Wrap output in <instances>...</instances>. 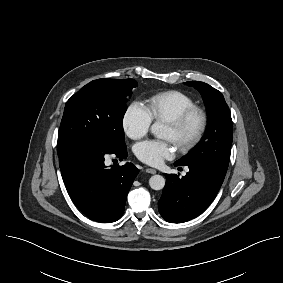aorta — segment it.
Masks as SVG:
<instances>
[{
  "instance_id": "762f6f07",
  "label": "aorta",
  "mask_w": 283,
  "mask_h": 283,
  "mask_svg": "<svg viewBox=\"0 0 283 283\" xmlns=\"http://www.w3.org/2000/svg\"><path fill=\"white\" fill-rule=\"evenodd\" d=\"M161 130H162V126L159 123L155 122V123L152 124L151 132L156 137H158V138L161 137ZM149 185L153 190H161L165 186V179L161 175H153L149 179Z\"/></svg>"
}]
</instances>
